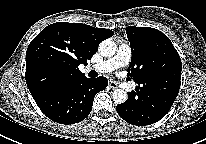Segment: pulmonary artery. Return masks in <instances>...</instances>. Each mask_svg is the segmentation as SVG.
Wrapping results in <instances>:
<instances>
[{
    "instance_id": "1",
    "label": "pulmonary artery",
    "mask_w": 206,
    "mask_h": 144,
    "mask_svg": "<svg viewBox=\"0 0 206 144\" xmlns=\"http://www.w3.org/2000/svg\"><path fill=\"white\" fill-rule=\"evenodd\" d=\"M131 59V49L127 44H121L118 47L117 53L98 64L93 65L91 68L100 73H108L120 67L126 66L129 64Z\"/></svg>"
}]
</instances>
